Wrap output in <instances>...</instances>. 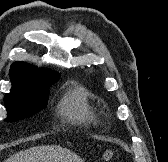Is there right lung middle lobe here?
I'll use <instances>...</instances> for the list:
<instances>
[{"mask_svg": "<svg viewBox=\"0 0 168 162\" xmlns=\"http://www.w3.org/2000/svg\"><path fill=\"white\" fill-rule=\"evenodd\" d=\"M57 81V80H56ZM55 81L22 86L5 95L4 102L9 122L33 115L47 105L49 90Z\"/></svg>", "mask_w": 168, "mask_h": 162, "instance_id": "dd1d6c3e", "label": "right lung middle lobe"}]
</instances>
